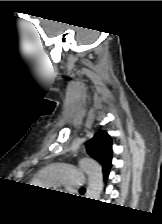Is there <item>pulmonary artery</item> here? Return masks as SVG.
<instances>
[{
	"label": "pulmonary artery",
	"mask_w": 162,
	"mask_h": 224,
	"mask_svg": "<svg viewBox=\"0 0 162 224\" xmlns=\"http://www.w3.org/2000/svg\"><path fill=\"white\" fill-rule=\"evenodd\" d=\"M38 180L46 186L81 188L84 185L85 177L73 166L61 165L43 170L39 174Z\"/></svg>",
	"instance_id": "pulmonary-artery-1"
}]
</instances>
